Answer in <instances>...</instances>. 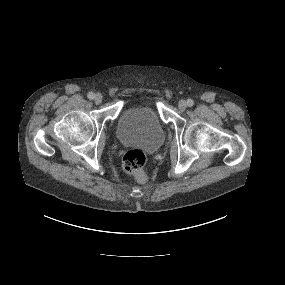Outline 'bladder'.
<instances>
[{
	"label": "bladder",
	"mask_w": 285,
	"mask_h": 285,
	"mask_svg": "<svg viewBox=\"0 0 285 285\" xmlns=\"http://www.w3.org/2000/svg\"><path fill=\"white\" fill-rule=\"evenodd\" d=\"M117 135L124 142H133L148 151L159 148L164 129L158 113L149 105L124 112L117 123Z\"/></svg>",
	"instance_id": "1"
}]
</instances>
